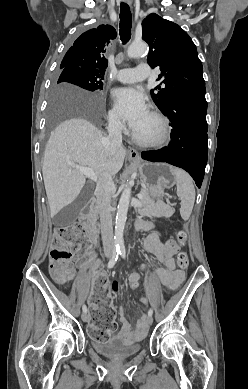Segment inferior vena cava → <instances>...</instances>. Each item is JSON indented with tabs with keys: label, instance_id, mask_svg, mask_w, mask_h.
Instances as JSON below:
<instances>
[{
	"label": "inferior vena cava",
	"instance_id": "inferior-vena-cava-1",
	"mask_svg": "<svg viewBox=\"0 0 248 389\" xmlns=\"http://www.w3.org/2000/svg\"><path fill=\"white\" fill-rule=\"evenodd\" d=\"M108 133V137L104 139V146L107 153L113 155L122 144V127L118 118L114 117L109 120ZM114 190L112 175L105 170L99 177L95 195L100 212L103 248L106 252L115 251L111 216V196Z\"/></svg>",
	"mask_w": 248,
	"mask_h": 389
}]
</instances>
